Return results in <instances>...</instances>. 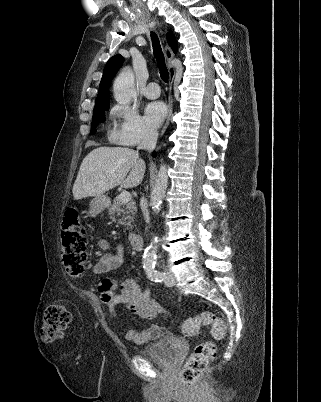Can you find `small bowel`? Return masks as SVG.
Returning a JSON list of instances; mask_svg holds the SVG:
<instances>
[{"instance_id": "c3829d8e", "label": "small bowel", "mask_w": 321, "mask_h": 402, "mask_svg": "<svg viewBox=\"0 0 321 402\" xmlns=\"http://www.w3.org/2000/svg\"><path fill=\"white\" fill-rule=\"evenodd\" d=\"M99 246L105 252L95 262L94 274H106L121 266L124 259V249L121 245L110 248L106 242L100 241ZM98 292L102 302L115 320H118L117 307L120 305L142 319H156L159 315L165 314V310L154 300L153 290L141 287L130 278L119 285L111 280L102 281L98 286ZM121 328L127 340L139 345L156 340L163 331L162 327L157 324L145 327L140 331L124 325H121Z\"/></svg>"}]
</instances>
